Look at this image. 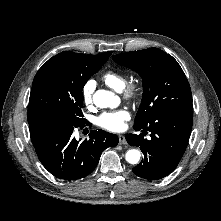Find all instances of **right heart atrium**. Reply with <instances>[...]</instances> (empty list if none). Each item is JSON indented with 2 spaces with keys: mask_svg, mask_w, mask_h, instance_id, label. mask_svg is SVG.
<instances>
[{
  "mask_svg": "<svg viewBox=\"0 0 221 221\" xmlns=\"http://www.w3.org/2000/svg\"><path fill=\"white\" fill-rule=\"evenodd\" d=\"M96 84L94 80H88L82 88V98L86 106H91L93 103V93Z\"/></svg>",
  "mask_w": 221,
  "mask_h": 221,
  "instance_id": "obj_1",
  "label": "right heart atrium"
}]
</instances>
